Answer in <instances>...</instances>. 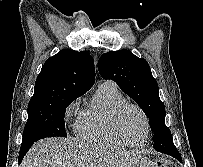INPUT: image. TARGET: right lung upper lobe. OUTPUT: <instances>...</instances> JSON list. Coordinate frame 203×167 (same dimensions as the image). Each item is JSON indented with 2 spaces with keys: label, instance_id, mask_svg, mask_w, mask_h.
<instances>
[{
  "label": "right lung upper lobe",
  "instance_id": "1",
  "mask_svg": "<svg viewBox=\"0 0 203 167\" xmlns=\"http://www.w3.org/2000/svg\"><path fill=\"white\" fill-rule=\"evenodd\" d=\"M94 60L87 51L61 50L47 59L34 87L29 105L79 97L94 84Z\"/></svg>",
  "mask_w": 203,
  "mask_h": 167
}]
</instances>
